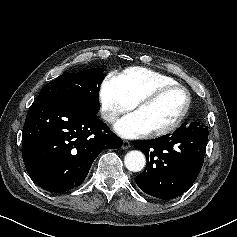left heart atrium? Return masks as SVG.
I'll return each instance as SVG.
<instances>
[{
	"label": "left heart atrium",
	"mask_w": 237,
	"mask_h": 237,
	"mask_svg": "<svg viewBox=\"0 0 237 237\" xmlns=\"http://www.w3.org/2000/svg\"><path fill=\"white\" fill-rule=\"evenodd\" d=\"M114 129L120 136L130 139L143 136L149 132L136 112L130 113L120 119L114 126Z\"/></svg>",
	"instance_id": "left-heart-atrium-1"
}]
</instances>
